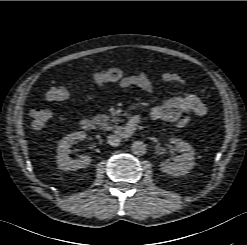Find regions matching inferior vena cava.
I'll list each match as a JSON object with an SVG mask.
<instances>
[{
	"label": "inferior vena cava",
	"instance_id": "inferior-vena-cava-1",
	"mask_svg": "<svg viewBox=\"0 0 247 245\" xmlns=\"http://www.w3.org/2000/svg\"><path fill=\"white\" fill-rule=\"evenodd\" d=\"M107 141H108V144L113 146V147H116L120 144V138L116 135H109L107 137Z\"/></svg>",
	"mask_w": 247,
	"mask_h": 245
}]
</instances>
